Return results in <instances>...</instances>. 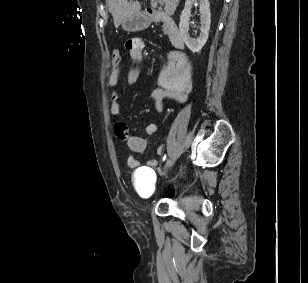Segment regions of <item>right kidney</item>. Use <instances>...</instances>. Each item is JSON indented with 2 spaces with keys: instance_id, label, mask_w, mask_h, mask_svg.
I'll return each mask as SVG.
<instances>
[{
  "instance_id": "right-kidney-1",
  "label": "right kidney",
  "mask_w": 308,
  "mask_h": 283,
  "mask_svg": "<svg viewBox=\"0 0 308 283\" xmlns=\"http://www.w3.org/2000/svg\"><path fill=\"white\" fill-rule=\"evenodd\" d=\"M193 5H199L200 10V35L193 39L189 35V17ZM211 24L209 0H186L184 10L180 16L179 32L186 46L193 52L198 53L208 40Z\"/></svg>"
}]
</instances>
